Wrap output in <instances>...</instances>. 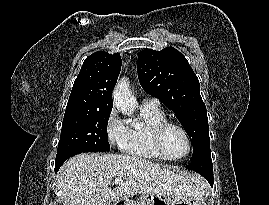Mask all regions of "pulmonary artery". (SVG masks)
I'll return each mask as SVG.
<instances>
[{
  "mask_svg": "<svg viewBox=\"0 0 269 205\" xmlns=\"http://www.w3.org/2000/svg\"><path fill=\"white\" fill-rule=\"evenodd\" d=\"M160 105V102L156 98H145L143 99L141 103V107H146V108H158Z\"/></svg>",
  "mask_w": 269,
  "mask_h": 205,
  "instance_id": "obj_1",
  "label": "pulmonary artery"
}]
</instances>
